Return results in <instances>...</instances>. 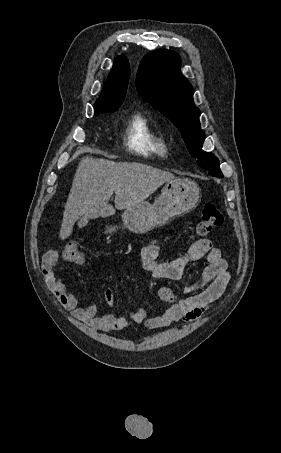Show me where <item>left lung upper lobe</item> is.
Instances as JSON below:
<instances>
[{
  "label": "left lung upper lobe",
  "instance_id": "5c2ea615",
  "mask_svg": "<svg viewBox=\"0 0 281 453\" xmlns=\"http://www.w3.org/2000/svg\"><path fill=\"white\" fill-rule=\"evenodd\" d=\"M136 87L144 101L172 120L197 164L211 175H223L218 158L202 150L200 111L193 103L192 86L180 72V57L166 49L148 53L139 66Z\"/></svg>",
  "mask_w": 281,
  "mask_h": 453
}]
</instances>
